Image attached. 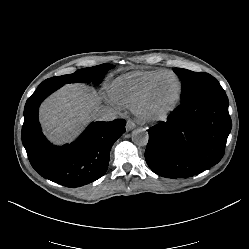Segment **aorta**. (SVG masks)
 Segmentation results:
<instances>
[{
    "mask_svg": "<svg viewBox=\"0 0 249 249\" xmlns=\"http://www.w3.org/2000/svg\"><path fill=\"white\" fill-rule=\"evenodd\" d=\"M149 137L148 132L144 129H135L132 132V141L138 146H146Z\"/></svg>",
    "mask_w": 249,
    "mask_h": 249,
    "instance_id": "1",
    "label": "aorta"
}]
</instances>
